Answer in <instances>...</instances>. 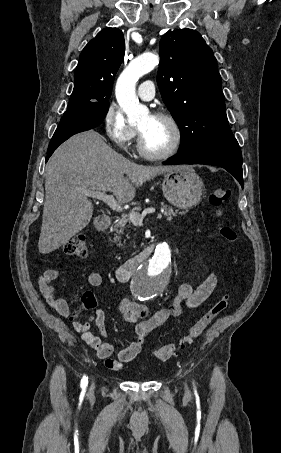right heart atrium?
I'll return each mask as SVG.
<instances>
[{
    "instance_id": "right-heart-atrium-1",
    "label": "right heart atrium",
    "mask_w": 281,
    "mask_h": 453,
    "mask_svg": "<svg viewBox=\"0 0 281 453\" xmlns=\"http://www.w3.org/2000/svg\"><path fill=\"white\" fill-rule=\"evenodd\" d=\"M128 84L123 85L121 89L122 96L128 94ZM103 125L106 133L119 148H125L137 136V130L125 118L120 109L115 106H109L103 114ZM112 169L117 174H121L124 170L123 157L119 153H112Z\"/></svg>"
}]
</instances>
